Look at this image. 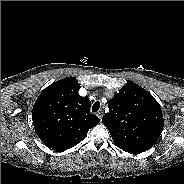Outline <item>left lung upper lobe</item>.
<instances>
[{
    "mask_svg": "<svg viewBox=\"0 0 184 184\" xmlns=\"http://www.w3.org/2000/svg\"><path fill=\"white\" fill-rule=\"evenodd\" d=\"M108 108L102 122L120 149L141 153L160 137L164 125L160 105L138 84L127 82L109 100Z\"/></svg>",
    "mask_w": 184,
    "mask_h": 184,
    "instance_id": "obj_1",
    "label": "left lung upper lobe"
}]
</instances>
